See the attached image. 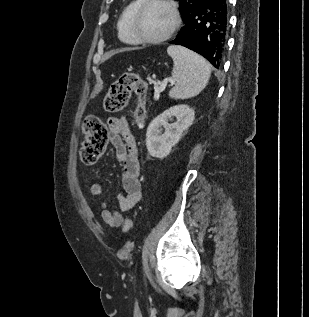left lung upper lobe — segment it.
<instances>
[{"instance_id": "obj_1", "label": "left lung upper lobe", "mask_w": 309, "mask_h": 317, "mask_svg": "<svg viewBox=\"0 0 309 317\" xmlns=\"http://www.w3.org/2000/svg\"><path fill=\"white\" fill-rule=\"evenodd\" d=\"M180 4V13L182 18L187 17L193 10H195L205 0H178Z\"/></svg>"}]
</instances>
